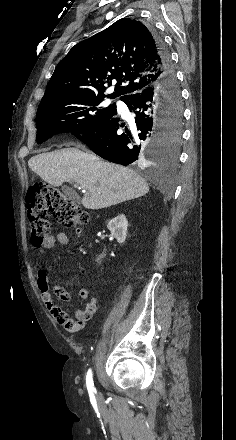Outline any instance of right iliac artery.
Listing matches in <instances>:
<instances>
[{
    "label": "right iliac artery",
    "instance_id": "right-iliac-artery-1",
    "mask_svg": "<svg viewBox=\"0 0 236 440\" xmlns=\"http://www.w3.org/2000/svg\"><path fill=\"white\" fill-rule=\"evenodd\" d=\"M86 386L89 393L96 392L94 384H93V378H92V370L89 369L86 376Z\"/></svg>",
    "mask_w": 236,
    "mask_h": 440
}]
</instances>
